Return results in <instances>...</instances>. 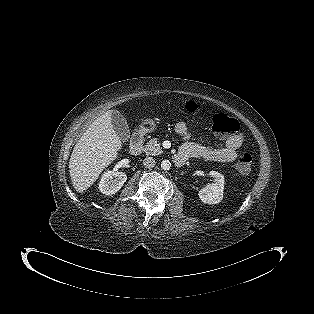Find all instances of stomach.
I'll return each instance as SVG.
<instances>
[{"label": "stomach", "instance_id": "stomach-1", "mask_svg": "<svg viewBox=\"0 0 314 314\" xmlns=\"http://www.w3.org/2000/svg\"><path fill=\"white\" fill-rule=\"evenodd\" d=\"M157 129V123L153 119H144L141 121L138 132L142 135L152 133Z\"/></svg>", "mask_w": 314, "mask_h": 314}]
</instances>
